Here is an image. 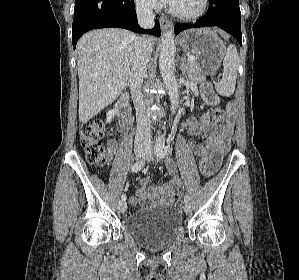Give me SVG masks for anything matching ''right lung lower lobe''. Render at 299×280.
<instances>
[{"label": "right lung lower lobe", "mask_w": 299, "mask_h": 280, "mask_svg": "<svg viewBox=\"0 0 299 280\" xmlns=\"http://www.w3.org/2000/svg\"><path fill=\"white\" fill-rule=\"evenodd\" d=\"M118 27L137 33L159 36L160 25L156 21L150 30L139 26L133 0H75L72 25V43L75 49L78 39L92 29Z\"/></svg>", "instance_id": "98d812e1"}]
</instances>
